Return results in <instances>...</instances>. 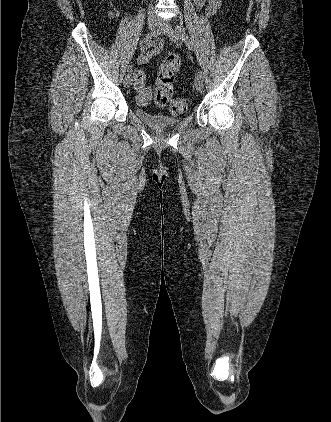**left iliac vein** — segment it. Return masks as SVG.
Wrapping results in <instances>:
<instances>
[{"label":"left iliac vein","instance_id":"left-iliac-vein-1","mask_svg":"<svg viewBox=\"0 0 331 422\" xmlns=\"http://www.w3.org/2000/svg\"><path fill=\"white\" fill-rule=\"evenodd\" d=\"M159 26L169 36L172 42L178 43L180 36L176 29H174L168 22L162 20H159ZM194 86L199 92L203 90V79L199 75L195 77Z\"/></svg>","mask_w":331,"mask_h":422}]
</instances>
